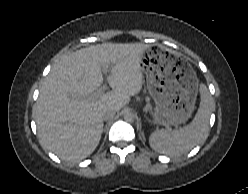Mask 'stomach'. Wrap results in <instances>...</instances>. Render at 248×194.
Segmentation results:
<instances>
[{
  "mask_svg": "<svg viewBox=\"0 0 248 194\" xmlns=\"http://www.w3.org/2000/svg\"><path fill=\"white\" fill-rule=\"evenodd\" d=\"M147 89L155 101L153 121L157 125L185 123L195 108L198 78L192 66L173 52L150 46L141 55Z\"/></svg>",
  "mask_w": 248,
  "mask_h": 194,
  "instance_id": "obj_1",
  "label": "stomach"
}]
</instances>
